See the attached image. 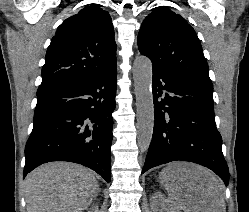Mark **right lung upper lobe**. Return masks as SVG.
I'll use <instances>...</instances> for the list:
<instances>
[{
  "instance_id": "obj_1",
  "label": "right lung upper lobe",
  "mask_w": 249,
  "mask_h": 212,
  "mask_svg": "<svg viewBox=\"0 0 249 212\" xmlns=\"http://www.w3.org/2000/svg\"><path fill=\"white\" fill-rule=\"evenodd\" d=\"M116 49L109 13L99 6L83 8L52 38L37 94L97 77L116 65Z\"/></svg>"
}]
</instances>
